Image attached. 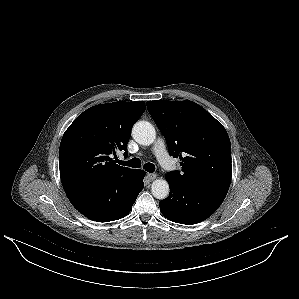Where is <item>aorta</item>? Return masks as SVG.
Segmentation results:
<instances>
[{"label": "aorta", "mask_w": 299, "mask_h": 299, "mask_svg": "<svg viewBox=\"0 0 299 299\" xmlns=\"http://www.w3.org/2000/svg\"><path fill=\"white\" fill-rule=\"evenodd\" d=\"M132 136L136 142L141 145L149 146L156 139V131L154 126L147 121H138L132 129ZM152 195L163 200L169 195V185L164 179H156L151 185Z\"/></svg>", "instance_id": "obj_1"}]
</instances>
